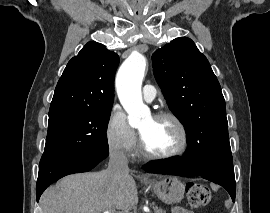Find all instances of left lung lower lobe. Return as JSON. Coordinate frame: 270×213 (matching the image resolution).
<instances>
[{
  "instance_id": "left-lung-lower-lobe-1",
  "label": "left lung lower lobe",
  "mask_w": 270,
  "mask_h": 213,
  "mask_svg": "<svg viewBox=\"0 0 270 213\" xmlns=\"http://www.w3.org/2000/svg\"><path fill=\"white\" fill-rule=\"evenodd\" d=\"M145 171L184 177L201 176L223 186L230 194L232 200L235 201L236 183L233 163L212 166L202 165L198 161L195 150L189 144L183 156L169 158L161 162L148 163L145 165Z\"/></svg>"
}]
</instances>
